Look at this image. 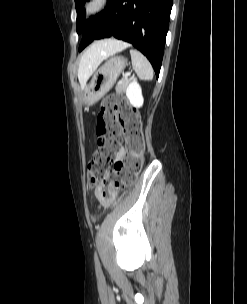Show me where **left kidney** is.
Listing matches in <instances>:
<instances>
[{"instance_id":"obj_1","label":"left kidney","mask_w":247,"mask_h":304,"mask_svg":"<svg viewBox=\"0 0 247 304\" xmlns=\"http://www.w3.org/2000/svg\"><path fill=\"white\" fill-rule=\"evenodd\" d=\"M126 96L130 101V104L134 107L140 108L143 105L144 99L142 96V90L139 83L134 79L126 89Z\"/></svg>"}]
</instances>
